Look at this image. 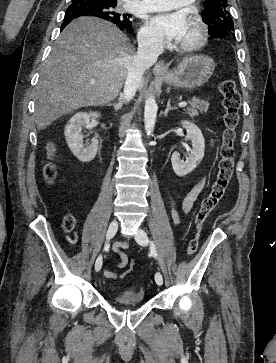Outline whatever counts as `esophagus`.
<instances>
[{
	"instance_id": "34e87169",
	"label": "esophagus",
	"mask_w": 276,
	"mask_h": 363,
	"mask_svg": "<svg viewBox=\"0 0 276 363\" xmlns=\"http://www.w3.org/2000/svg\"><path fill=\"white\" fill-rule=\"evenodd\" d=\"M166 66L163 60L159 61L153 68V72L155 74H164L166 73Z\"/></svg>"
}]
</instances>
